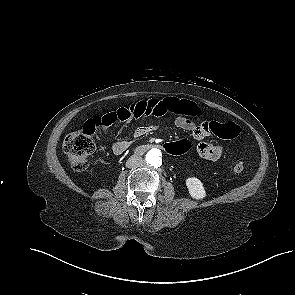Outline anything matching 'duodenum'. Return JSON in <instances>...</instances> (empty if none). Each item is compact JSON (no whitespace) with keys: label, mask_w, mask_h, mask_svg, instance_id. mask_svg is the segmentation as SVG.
I'll return each instance as SVG.
<instances>
[{"label":"duodenum","mask_w":295,"mask_h":295,"mask_svg":"<svg viewBox=\"0 0 295 295\" xmlns=\"http://www.w3.org/2000/svg\"><path fill=\"white\" fill-rule=\"evenodd\" d=\"M155 148H161L160 145L158 144H145V145H140L135 149V152L137 154H143L151 149H155Z\"/></svg>","instance_id":"duodenum-1"}]
</instances>
